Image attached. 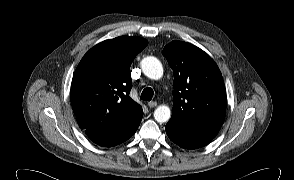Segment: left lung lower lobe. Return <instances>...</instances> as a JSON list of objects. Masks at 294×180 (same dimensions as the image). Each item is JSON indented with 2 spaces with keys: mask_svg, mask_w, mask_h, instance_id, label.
Instances as JSON below:
<instances>
[{
  "mask_svg": "<svg viewBox=\"0 0 294 180\" xmlns=\"http://www.w3.org/2000/svg\"><path fill=\"white\" fill-rule=\"evenodd\" d=\"M221 127H188L174 119L165 126L170 140L185 149H197L205 146L217 135Z\"/></svg>",
  "mask_w": 294,
  "mask_h": 180,
  "instance_id": "obj_1",
  "label": "left lung lower lobe"
}]
</instances>
